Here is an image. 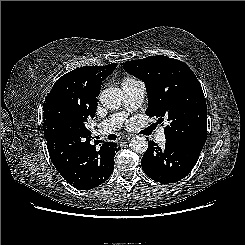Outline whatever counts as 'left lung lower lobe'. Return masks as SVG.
<instances>
[{
    "mask_svg": "<svg viewBox=\"0 0 245 245\" xmlns=\"http://www.w3.org/2000/svg\"><path fill=\"white\" fill-rule=\"evenodd\" d=\"M204 143L199 139H166L165 148L161 149L154 141H149L141 160L143 171L156 182H177L193 169Z\"/></svg>",
    "mask_w": 245,
    "mask_h": 245,
    "instance_id": "left-lung-lower-lobe-1",
    "label": "left lung lower lobe"
}]
</instances>
